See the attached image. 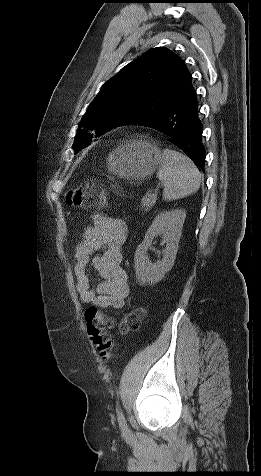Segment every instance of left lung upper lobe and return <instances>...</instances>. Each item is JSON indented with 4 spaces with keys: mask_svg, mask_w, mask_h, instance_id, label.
<instances>
[{
    "mask_svg": "<svg viewBox=\"0 0 261 476\" xmlns=\"http://www.w3.org/2000/svg\"><path fill=\"white\" fill-rule=\"evenodd\" d=\"M192 88L184 61L172 51L152 48L103 84L80 126L96 125L100 137L109 130L140 124L165 111ZM92 134L77 130L73 149L90 145Z\"/></svg>",
    "mask_w": 261,
    "mask_h": 476,
    "instance_id": "1",
    "label": "left lung upper lobe"
}]
</instances>
